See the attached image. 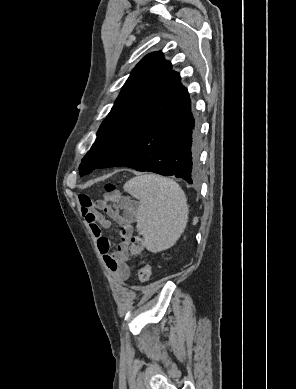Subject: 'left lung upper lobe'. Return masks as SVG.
I'll return each instance as SVG.
<instances>
[{
	"mask_svg": "<svg viewBox=\"0 0 296 389\" xmlns=\"http://www.w3.org/2000/svg\"><path fill=\"white\" fill-rule=\"evenodd\" d=\"M175 74L177 72L172 71L171 63L163 58L162 52L150 53L136 65L110 113L101 124L95 143L82 159L79 166L81 176L99 168V163L94 155V147L99 142L102 134L150 96L166 79Z\"/></svg>",
	"mask_w": 296,
	"mask_h": 389,
	"instance_id": "obj_1",
	"label": "left lung upper lobe"
}]
</instances>
